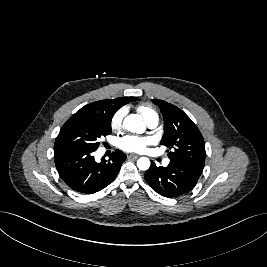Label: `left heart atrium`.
<instances>
[{
  "label": "left heart atrium",
  "mask_w": 267,
  "mask_h": 267,
  "mask_svg": "<svg viewBox=\"0 0 267 267\" xmlns=\"http://www.w3.org/2000/svg\"><path fill=\"white\" fill-rule=\"evenodd\" d=\"M151 142L149 137L125 136L120 139L119 146L127 152H143Z\"/></svg>",
  "instance_id": "39dd6f15"
}]
</instances>
